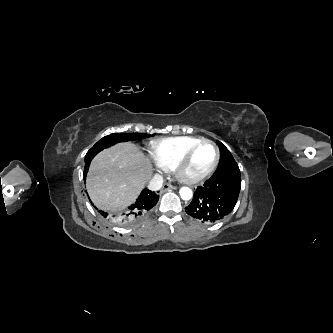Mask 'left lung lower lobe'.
<instances>
[{"label":"left lung lower lobe","instance_id":"obj_1","mask_svg":"<svg viewBox=\"0 0 333 333\" xmlns=\"http://www.w3.org/2000/svg\"><path fill=\"white\" fill-rule=\"evenodd\" d=\"M241 188L238 165L216 171L204 185L197 187L186 213L203 223H214L234 209Z\"/></svg>","mask_w":333,"mask_h":333}]
</instances>
